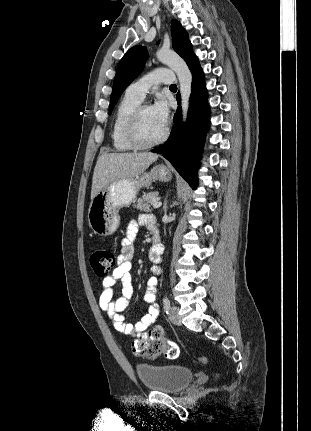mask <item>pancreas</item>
Returning a JSON list of instances; mask_svg holds the SVG:
<instances>
[{"instance_id": "1", "label": "pancreas", "mask_w": 311, "mask_h": 431, "mask_svg": "<svg viewBox=\"0 0 311 431\" xmlns=\"http://www.w3.org/2000/svg\"><path fill=\"white\" fill-rule=\"evenodd\" d=\"M158 192H150V194H144L142 198H138L136 204H132V208H137L140 212H151L152 204L151 200L157 198Z\"/></svg>"}]
</instances>
